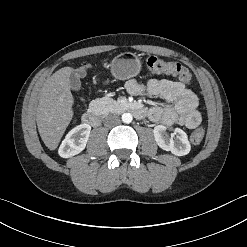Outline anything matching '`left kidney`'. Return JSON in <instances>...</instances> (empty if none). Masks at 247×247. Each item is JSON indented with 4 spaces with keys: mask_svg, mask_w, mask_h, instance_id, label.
<instances>
[{
    "mask_svg": "<svg viewBox=\"0 0 247 247\" xmlns=\"http://www.w3.org/2000/svg\"><path fill=\"white\" fill-rule=\"evenodd\" d=\"M153 133L155 141L161 149L171 151L176 156H183L190 152L191 146L188 137L180 128H176L174 133L169 136L165 126L157 125L153 129ZM174 136H176L175 140Z\"/></svg>",
    "mask_w": 247,
    "mask_h": 247,
    "instance_id": "1",
    "label": "left kidney"
}]
</instances>
